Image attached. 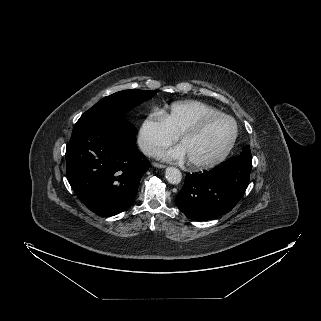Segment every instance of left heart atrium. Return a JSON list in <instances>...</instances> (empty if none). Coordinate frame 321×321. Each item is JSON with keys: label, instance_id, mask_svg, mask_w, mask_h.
<instances>
[{"label": "left heart atrium", "instance_id": "left-heart-atrium-1", "mask_svg": "<svg viewBox=\"0 0 321 321\" xmlns=\"http://www.w3.org/2000/svg\"><path fill=\"white\" fill-rule=\"evenodd\" d=\"M155 155L167 161H182L187 158L185 149L181 144L168 150L157 151Z\"/></svg>", "mask_w": 321, "mask_h": 321}]
</instances>
